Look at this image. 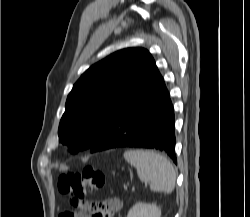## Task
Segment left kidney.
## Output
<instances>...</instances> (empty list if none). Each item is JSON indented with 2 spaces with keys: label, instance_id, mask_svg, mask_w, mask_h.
Masks as SVG:
<instances>
[{
  "label": "left kidney",
  "instance_id": "left-kidney-1",
  "mask_svg": "<svg viewBox=\"0 0 250 217\" xmlns=\"http://www.w3.org/2000/svg\"><path fill=\"white\" fill-rule=\"evenodd\" d=\"M127 217H161V209L155 204L136 203Z\"/></svg>",
  "mask_w": 250,
  "mask_h": 217
}]
</instances>
